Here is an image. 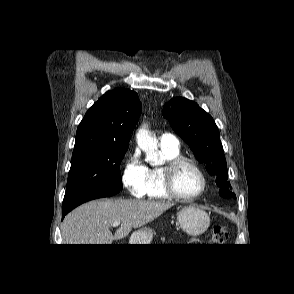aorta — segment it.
Instances as JSON below:
<instances>
[{
	"instance_id": "obj_1",
	"label": "aorta",
	"mask_w": 294,
	"mask_h": 294,
	"mask_svg": "<svg viewBox=\"0 0 294 294\" xmlns=\"http://www.w3.org/2000/svg\"><path fill=\"white\" fill-rule=\"evenodd\" d=\"M138 146L145 152L146 160L155 164L158 160L157 140L151 135L146 125H143L136 133Z\"/></svg>"
}]
</instances>
